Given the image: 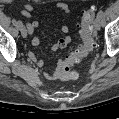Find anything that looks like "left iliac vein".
Listing matches in <instances>:
<instances>
[{
    "mask_svg": "<svg viewBox=\"0 0 119 119\" xmlns=\"http://www.w3.org/2000/svg\"><path fill=\"white\" fill-rule=\"evenodd\" d=\"M100 23H101V18L96 17L93 23L94 29L99 30L100 29Z\"/></svg>",
    "mask_w": 119,
    "mask_h": 119,
    "instance_id": "4c4485c4",
    "label": "left iliac vein"
}]
</instances>
